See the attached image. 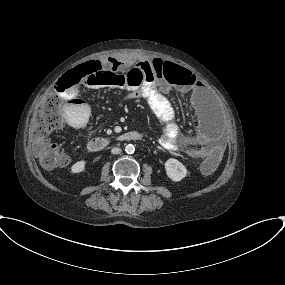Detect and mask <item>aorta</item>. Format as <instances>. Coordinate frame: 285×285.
<instances>
[{
  "label": "aorta",
  "mask_w": 285,
  "mask_h": 285,
  "mask_svg": "<svg viewBox=\"0 0 285 285\" xmlns=\"http://www.w3.org/2000/svg\"><path fill=\"white\" fill-rule=\"evenodd\" d=\"M134 151H135L134 145L128 144V145L125 146V152H126L127 154H133Z\"/></svg>",
  "instance_id": "obj_1"
}]
</instances>
